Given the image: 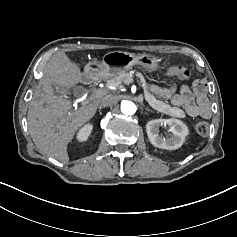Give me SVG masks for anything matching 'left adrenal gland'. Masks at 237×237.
<instances>
[{"label":"left adrenal gland","mask_w":237,"mask_h":237,"mask_svg":"<svg viewBox=\"0 0 237 237\" xmlns=\"http://www.w3.org/2000/svg\"><path fill=\"white\" fill-rule=\"evenodd\" d=\"M146 110H147V111H150V109H149V108H146Z\"/></svg>","instance_id":"left-adrenal-gland-1"}]
</instances>
